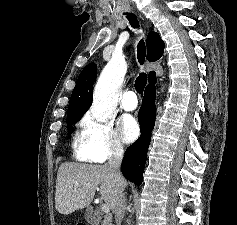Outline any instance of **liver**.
Wrapping results in <instances>:
<instances>
[{"mask_svg": "<svg viewBox=\"0 0 237 225\" xmlns=\"http://www.w3.org/2000/svg\"><path fill=\"white\" fill-rule=\"evenodd\" d=\"M114 212L117 184L107 165L64 162L57 173L55 208L63 215L82 210L92 202L96 190ZM127 182L124 180V188Z\"/></svg>", "mask_w": 237, "mask_h": 225, "instance_id": "6515ba94", "label": "liver"}]
</instances>
